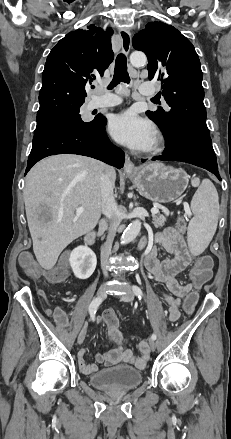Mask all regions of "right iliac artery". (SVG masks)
<instances>
[{
    "mask_svg": "<svg viewBox=\"0 0 231 439\" xmlns=\"http://www.w3.org/2000/svg\"><path fill=\"white\" fill-rule=\"evenodd\" d=\"M101 302H102V299H99V298L93 299V301L89 305V312L91 314L95 313Z\"/></svg>",
    "mask_w": 231,
    "mask_h": 439,
    "instance_id": "82829eb1",
    "label": "right iliac artery"
}]
</instances>
